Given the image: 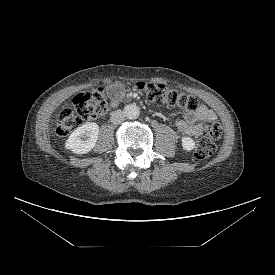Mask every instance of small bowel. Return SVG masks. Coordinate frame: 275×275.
<instances>
[{"mask_svg":"<svg viewBox=\"0 0 275 275\" xmlns=\"http://www.w3.org/2000/svg\"><path fill=\"white\" fill-rule=\"evenodd\" d=\"M109 94L113 103H116L121 95L120 86H111ZM217 116L214 111L205 106H201L195 111L186 114L185 119L176 122V129L184 136H198L205 129L207 124L215 122Z\"/></svg>","mask_w":275,"mask_h":275,"instance_id":"small-bowel-1","label":"small bowel"}]
</instances>
